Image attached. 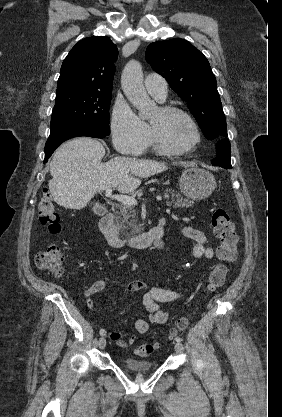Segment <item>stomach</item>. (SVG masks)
Masks as SVG:
<instances>
[{
    "mask_svg": "<svg viewBox=\"0 0 282 417\" xmlns=\"http://www.w3.org/2000/svg\"><path fill=\"white\" fill-rule=\"evenodd\" d=\"M180 190L192 198V200H202L212 194L216 188V180L214 174L205 170V168H186L180 176Z\"/></svg>",
    "mask_w": 282,
    "mask_h": 417,
    "instance_id": "1",
    "label": "stomach"
}]
</instances>
